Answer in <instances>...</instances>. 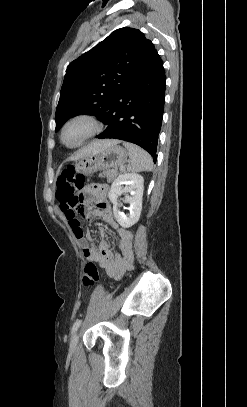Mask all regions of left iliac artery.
I'll list each match as a JSON object with an SVG mask.
<instances>
[{
  "label": "left iliac artery",
  "mask_w": 247,
  "mask_h": 407,
  "mask_svg": "<svg viewBox=\"0 0 247 407\" xmlns=\"http://www.w3.org/2000/svg\"><path fill=\"white\" fill-rule=\"evenodd\" d=\"M81 322H82V320L79 319L73 324L71 333H74L79 328V326L81 325Z\"/></svg>",
  "instance_id": "1"
}]
</instances>
